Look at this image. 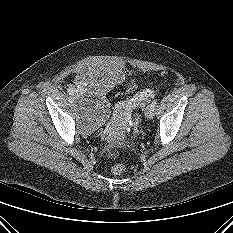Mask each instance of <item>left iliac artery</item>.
<instances>
[{
  "label": "left iliac artery",
  "instance_id": "obj_1",
  "mask_svg": "<svg viewBox=\"0 0 233 233\" xmlns=\"http://www.w3.org/2000/svg\"><path fill=\"white\" fill-rule=\"evenodd\" d=\"M156 104H157V100H154V101L150 104V106H151L152 108H155V107H156Z\"/></svg>",
  "mask_w": 233,
  "mask_h": 233
}]
</instances>
